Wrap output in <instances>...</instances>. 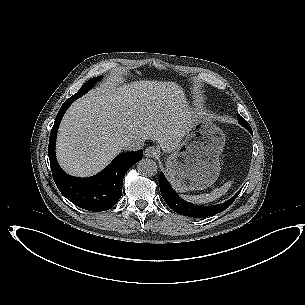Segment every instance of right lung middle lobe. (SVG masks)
Wrapping results in <instances>:
<instances>
[{
	"mask_svg": "<svg viewBox=\"0 0 305 305\" xmlns=\"http://www.w3.org/2000/svg\"><path fill=\"white\" fill-rule=\"evenodd\" d=\"M102 78V76H98V77H94L92 79H90L89 81H87L82 88L76 93L74 94L71 98L76 100L79 97H81L82 95H84L85 93H87L89 91V89L93 86V84L97 81H99Z\"/></svg>",
	"mask_w": 305,
	"mask_h": 305,
	"instance_id": "obj_1",
	"label": "right lung middle lobe"
}]
</instances>
